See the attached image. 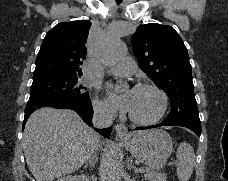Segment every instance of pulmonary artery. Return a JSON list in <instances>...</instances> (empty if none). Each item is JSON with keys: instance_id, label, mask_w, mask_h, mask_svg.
I'll list each match as a JSON object with an SVG mask.
<instances>
[{"instance_id": "pulmonary-artery-1", "label": "pulmonary artery", "mask_w": 228, "mask_h": 181, "mask_svg": "<svg viewBox=\"0 0 228 181\" xmlns=\"http://www.w3.org/2000/svg\"><path fill=\"white\" fill-rule=\"evenodd\" d=\"M120 60L121 62H124L123 65H115L114 69L125 70V75H134V71H137V63L132 62V57L121 58Z\"/></svg>"}]
</instances>
